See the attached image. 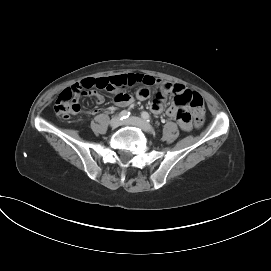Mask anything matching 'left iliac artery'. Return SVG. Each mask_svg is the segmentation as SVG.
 <instances>
[{"label":"left iliac artery","instance_id":"44dca946","mask_svg":"<svg viewBox=\"0 0 271 271\" xmlns=\"http://www.w3.org/2000/svg\"><path fill=\"white\" fill-rule=\"evenodd\" d=\"M141 116H142L143 119H145V120L148 121V122L151 120V117H150L149 113L146 112V111H143V112L141 113Z\"/></svg>","mask_w":271,"mask_h":271}]
</instances>
